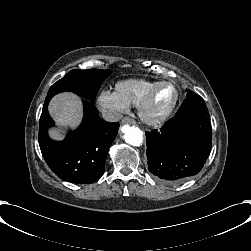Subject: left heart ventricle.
Returning a JSON list of instances; mask_svg holds the SVG:
<instances>
[{
    "mask_svg": "<svg viewBox=\"0 0 251 251\" xmlns=\"http://www.w3.org/2000/svg\"><path fill=\"white\" fill-rule=\"evenodd\" d=\"M178 98L176 86L167 82L162 84L156 91L149 107V112L154 115H160L174 106Z\"/></svg>",
    "mask_w": 251,
    "mask_h": 251,
    "instance_id": "b2bd125f",
    "label": "left heart ventricle"
}]
</instances>
